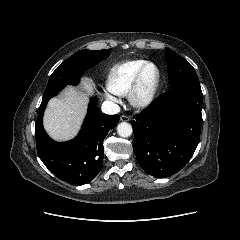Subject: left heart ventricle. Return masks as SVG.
<instances>
[{"instance_id": "1", "label": "left heart ventricle", "mask_w": 240, "mask_h": 240, "mask_svg": "<svg viewBox=\"0 0 240 240\" xmlns=\"http://www.w3.org/2000/svg\"><path fill=\"white\" fill-rule=\"evenodd\" d=\"M155 77V70L153 67H149L146 69L143 77V85L144 87H147L151 84Z\"/></svg>"}]
</instances>
